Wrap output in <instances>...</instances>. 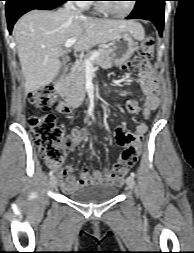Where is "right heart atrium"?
<instances>
[{
  "label": "right heart atrium",
  "instance_id": "d8ad5b80",
  "mask_svg": "<svg viewBox=\"0 0 194 253\" xmlns=\"http://www.w3.org/2000/svg\"><path fill=\"white\" fill-rule=\"evenodd\" d=\"M82 1H84V0H80V2H78L80 6H84L85 5V2H82Z\"/></svg>",
  "mask_w": 194,
  "mask_h": 253
}]
</instances>
